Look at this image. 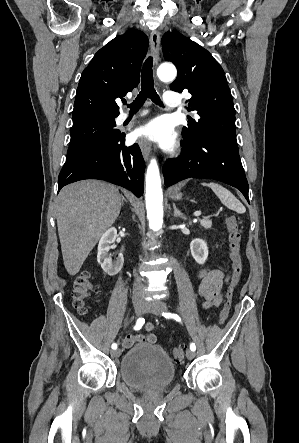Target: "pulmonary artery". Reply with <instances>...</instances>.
<instances>
[{"mask_svg":"<svg viewBox=\"0 0 299 443\" xmlns=\"http://www.w3.org/2000/svg\"><path fill=\"white\" fill-rule=\"evenodd\" d=\"M164 103L171 108H176L180 105V96L174 92H165L163 95ZM128 119V115L126 113H122L119 116V120L121 122Z\"/></svg>","mask_w":299,"mask_h":443,"instance_id":"1","label":"pulmonary artery"}]
</instances>
